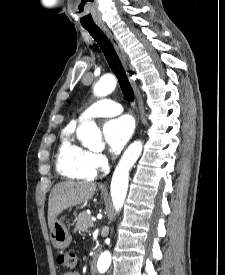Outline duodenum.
Masks as SVG:
<instances>
[{
  "mask_svg": "<svg viewBox=\"0 0 225 275\" xmlns=\"http://www.w3.org/2000/svg\"><path fill=\"white\" fill-rule=\"evenodd\" d=\"M96 271V260L93 258L90 263V273L94 274Z\"/></svg>",
  "mask_w": 225,
  "mask_h": 275,
  "instance_id": "duodenum-1",
  "label": "duodenum"
}]
</instances>
